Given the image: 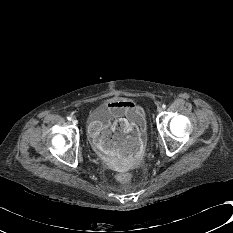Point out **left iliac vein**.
Wrapping results in <instances>:
<instances>
[{"mask_svg": "<svg viewBox=\"0 0 233 233\" xmlns=\"http://www.w3.org/2000/svg\"><path fill=\"white\" fill-rule=\"evenodd\" d=\"M157 112H159V113L162 112V107L158 106L157 107Z\"/></svg>", "mask_w": 233, "mask_h": 233, "instance_id": "obj_1", "label": "left iliac vein"}]
</instances>
